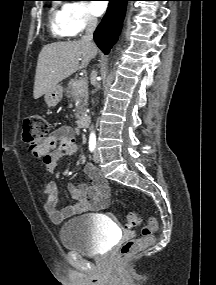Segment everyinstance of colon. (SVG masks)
<instances>
[{
  "label": "colon",
  "instance_id": "colon-1",
  "mask_svg": "<svg viewBox=\"0 0 216 285\" xmlns=\"http://www.w3.org/2000/svg\"><path fill=\"white\" fill-rule=\"evenodd\" d=\"M49 126L47 120L40 115H31L24 119L22 127V138L27 144L29 152L33 155H39L40 145L47 136ZM125 224L129 228L136 227L139 224V217L135 213H129L126 216ZM158 229V223L155 218H150L148 223L142 229V235L136 239L126 241L120 248L117 255V262L121 263L133 254L147 248L154 241V234Z\"/></svg>",
  "mask_w": 216,
  "mask_h": 285
}]
</instances>
